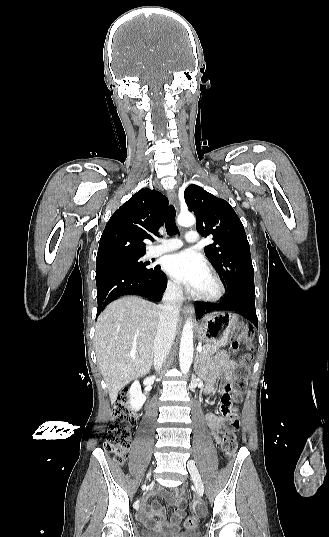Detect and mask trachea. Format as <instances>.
Segmentation results:
<instances>
[{"label": "trachea", "instance_id": "obj_1", "mask_svg": "<svg viewBox=\"0 0 329 537\" xmlns=\"http://www.w3.org/2000/svg\"><path fill=\"white\" fill-rule=\"evenodd\" d=\"M175 216H176L175 208L172 205H170L168 208L167 216L165 220V227H166V231L168 235L177 233Z\"/></svg>", "mask_w": 329, "mask_h": 537}]
</instances>
